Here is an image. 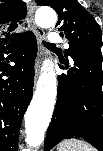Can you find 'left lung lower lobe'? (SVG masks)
Segmentation results:
<instances>
[{
	"label": "left lung lower lobe",
	"instance_id": "left-lung-lower-lobe-1",
	"mask_svg": "<svg viewBox=\"0 0 103 151\" xmlns=\"http://www.w3.org/2000/svg\"><path fill=\"white\" fill-rule=\"evenodd\" d=\"M61 63L55 110L45 139V151L63 139L82 138L103 150V71L99 47L75 48ZM61 69L64 66L59 65ZM70 67V68H69Z\"/></svg>",
	"mask_w": 103,
	"mask_h": 151
}]
</instances>
